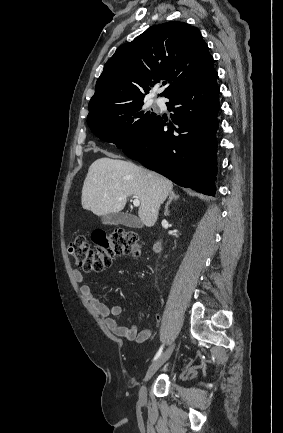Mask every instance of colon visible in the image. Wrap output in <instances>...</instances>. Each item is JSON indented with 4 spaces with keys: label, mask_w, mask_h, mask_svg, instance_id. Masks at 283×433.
I'll return each instance as SVG.
<instances>
[{
    "label": "colon",
    "mask_w": 283,
    "mask_h": 433,
    "mask_svg": "<svg viewBox=\"0 0 283 433\" xmlns=\"http://www.w3.org/2000/svg\"><path fill=\"white\" fill-rule=\"evenodd\" d=\"M92 248L87 237L77 234L68 245V251L76 265L84 271L100 272L108 268L118 255H138L140 241L135 232L116 229L110 234L95 233Z\"/></svg>",
    "instance_id": "obj_1"
}]
</instances>
